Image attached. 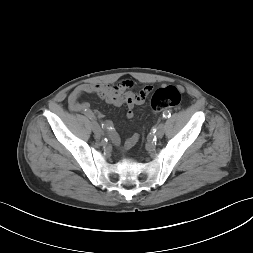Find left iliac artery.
<instances>
[{
	"mask_svg": "<svg viewBox=\"0 0 253 253\" xmlns=\"http://www.w3.org/2000/svg\"><path fill=\"white\" fill-rule=\"evenodd\" d=\"M171 116V113L169 111H164L163 112V117L164 118H169Z\"/></svg>",
	"mask_w": 253,
	"mask_h": 253,
	"instance_id": "44dca946",
	"label": "left iliac artery"
}]
</instances>
